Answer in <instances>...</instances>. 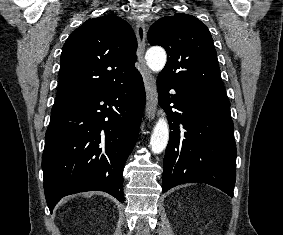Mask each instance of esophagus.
I'll list each match as a JSON object with an SVG mask.
<instances>
[{
	"label": "esophagus",
	"instance_id": "obj_1",
	"mask_svg": "<svg viewBox=\"0 0 283 235\" xmlns=\"http://www.w3.org/2000/svg\"><path fill=\"white\" fill-rule=\"evenodd\" d=\"M136 37L138 42V61L141 67V74L143 77L147 95L145 115L147 119L152 120L154 119L157 110V90L155 80L151 72L148 70L144 59L146 46V30L143 21H137L136 23Z\"/></svg>",
	"mask_w": 283,
	"mask_h": 235
}]
</instances>
